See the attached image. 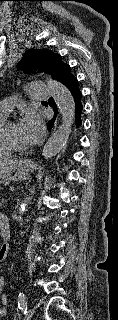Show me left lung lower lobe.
<instances>
[{"mask_svg":"<svg viewBox=\"0 0 118 320\" xmlns=\"http://www.w3.org/2000/svg\"><path fill=\"white\" fill-rule=\"evenodd\" d=\"M60 82L65 87L68 88L72 97L74 98L75 110H76V112H75L76 113L75 114L76 125L80 126L81 125V113H82V103H81L82 93L78 87L77 78L71 73L70 68H69L68 72L64 75V77L60 80ZM49 105L51 107H53V109L55 111H57V107H56L55 102L53 100H51L49 102ZM53 124H54V119L51 120L47 124L48 129H51L53 127Z\"/></svg>","mask_w":118,"mask_h":320,"instance_id":"1","label":"left lung lower lobe"}]
</instances>
